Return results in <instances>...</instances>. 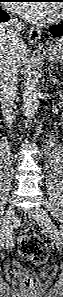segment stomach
<instances>
[{
	"instance_id": "1",
	"label": "stomach",
	"mask_w": 63,
	"mask_h": 297,
	"mask_svg": "<svg viewBox=\"0 0 63 297\" xmlns=\"http://www.w3.org/2000/svg\"><path fill=\"white\" fill-rule=\"evenodd\" d=\"M46 57L52 62L63 64V39L56 41L46 50Z\"/></svg>"
}]
</instances>
